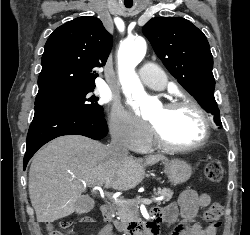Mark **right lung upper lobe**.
<instances>
[{
  "label": "right lung upper lobe",
  "mask_w": 250,
  "mask_h": 235,
  "mask_svg": "<svg viewBox=\"0 0 250 235\" xmlns=\"http://www.w3.org/2000/svg\"><path fill=\"white\" fill-rule=\"evenodd\" d=\"M111 47L112 36L96 17L58 27L45 44L36 98L95 85V68L105 65Z\"/></svg>",
  "instance_id": "1"
}]
</instances>
